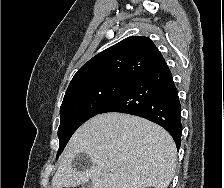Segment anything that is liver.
<instances>
[{
    "instance_id": "liver-1",
    "label": "liver",
    "mask_w": 224,
    "mask_h": 188,
    "mask_svg": "<svg viewBox=\"0 0 224 188\" xmlns=\"http://www.w3.org/2000/svg\"><path fill=\"white\" fill-rule=\"evenodd\" d=\"M87 154L91 167L79 170L72 161ZM176 145L161 126L124 113L97 115L71 137L52 179V188H167L175 175Z\"/></svg>"
}]
</instances>
